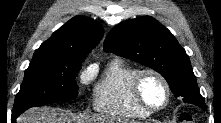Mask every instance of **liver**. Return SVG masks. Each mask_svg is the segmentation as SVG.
Wrapping results in <instances>:
<instances>
[{"label":"liver","mask_w":221,"mask_h":123,"mask_svg":"<svg viewBox=\"0 0 221 123\" xmlns=\"http://www.w3.org/2000/svg\"><path fill=\"white\" fill-rule=\"evenodd\" d=\"M17 123H92L97 120L84 114H72L62 109L52 107H39L29 109L17 118ZM98 121H105L100 119Z\"/></svg>","instance_id":"1"}]
</instances>
